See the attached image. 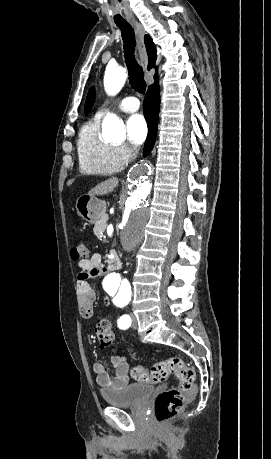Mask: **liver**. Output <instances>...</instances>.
Returning <instances> with one entry per match:
<instances>
[{
  "instance_id": "liver-1",
  "label": "liver",
  "mask_w": 271,
  "mask_h": 459,
  "mask_svg": "<svg viewBox=\"0 0 271 459\" xmlns=\"http://www.w3.org/2000/svg\"><path fill=\"white\" fill-rule=\"evenodd\" d=\"M119 180L117 178H110V180H105L102 184H97L95 188H92L90 192H88V196H103V194H109V192H113L114 188L118 186Z\"/></svg>"
}]
</instances>
